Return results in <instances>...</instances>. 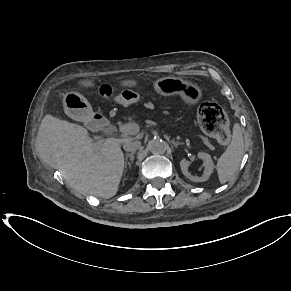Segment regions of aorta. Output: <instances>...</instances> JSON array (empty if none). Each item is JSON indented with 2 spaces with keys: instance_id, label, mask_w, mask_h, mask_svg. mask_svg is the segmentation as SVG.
<instances>
[{
  "instance_id": "1",
  "label": "aorta",
  "mask_w": 291,
  "mask_h": 291,
  "mask_svg": "<svg viewBox=\"0 0 291 291\" xmlns=\"http://www.w3.org/2000/svg\"><path fill=\"white\" fill-rule=\"evenodd\" d=\"M148 148L154 154H163L167 149V144L162 139L156 138L148 143Z\"/></svg>"
}]
</instances>
